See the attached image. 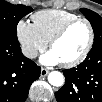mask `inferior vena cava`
Wrapping results in <instances>:
<instances>
[{
    "instance_id": "inferior-vena-cava-1",
    "label": "inferior vena cava",
    "mask_w": 102,
    "mask_h": 102,
    "mask_svg": "<svg viewBox=\"0 0 102 102\" xmlns=\"http://www.w3.org/2000/svg\"><path fill=\"white\" fill-rule=\"evenodd\" d=\"M22 53L24 56H26L27 58H36L38 55V52L35 48L33 47H29V46H23L22 47Z\"/></svg>"
}]
</instances>
